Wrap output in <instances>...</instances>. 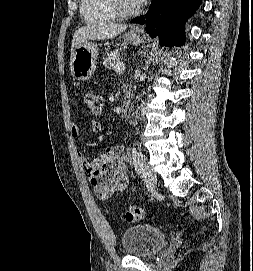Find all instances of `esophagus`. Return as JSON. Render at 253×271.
Masks as SVG:
<instances>
[{"label": "esophagus", "mask_w": 253, "mask_h": 271, "mask_svg": "<svg viewBox=\"0 0 253 271\" xmlns=\"http://www.w3.org/2000/svg\"><path fill=\"white\" fill-rule=\"evenodd\" d=\"M136 32H138V33H143V32H144L143 27H137V28H136Z\"/></svg>", "instance_id": "esophagus-1"}]
</instances>
